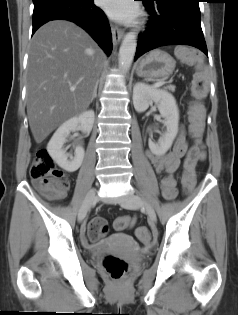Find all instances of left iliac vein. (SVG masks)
<instances>
[{
  "label": "left iliac vein",
  "instance_id": "obj_1",
  "mask_svg": "<svg viewBox=\"0 0 238 315\" xmlns=\"http://www.w3.org/2000/svg\"><path fill=\"white\" fill-rule=\"evenodd\" d=\"M120 205L123 208H127V209H136L140 206H143L148 216L149 222L151 224H155L157 221V216L153 207L147 201L142 199L139 195L130 193L122 197L120 199Z\"/></svg>",
  "mask_w": 238,
  "mask_h": 315
}]
</instances>
